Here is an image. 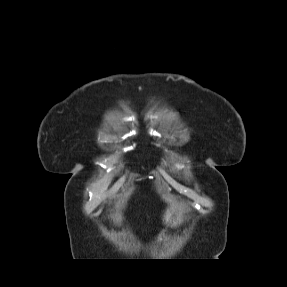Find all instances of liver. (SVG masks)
<instances>
[{"mask_svg":"<svg viewBox=\"0 0 287 287\" xmlns=\"http://www.w3.org/2000/svg\"><path fill=\"white\" fill-rule=\"evenodd\" d=\"M169 217H170V211L167 210L166 213H165V215H164V219H165L166 221H168V220H169Z\"/></svg>","mask_w":287,"mask_h":287,"instance_id":"6515ba94","label":"liver"}]
</instances>
